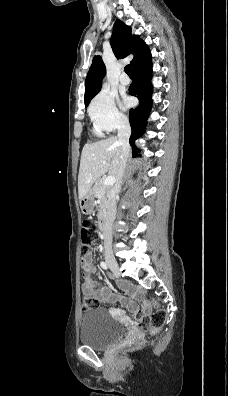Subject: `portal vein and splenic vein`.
Instances as JSON below:
<instances>
[{"instance_id":"18ae733b","label":"portal vein and splenic vein","mask_w":228,"mask_h":396,"mask_svg":"<svg viewBox=\"0 0 228 396\" xmlns=\"http://www.w3.org/2000/svg\"><path fill=\"white\" fill-rule=\"evenodd\" d=\"M115 177L114 176H108V177H106L105 178V180H104V184L106 185V186H111V185H113L114 183H115Z\"/></svg>"}]
</instances>
